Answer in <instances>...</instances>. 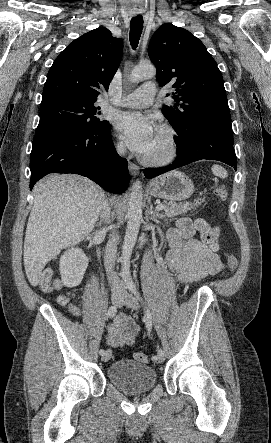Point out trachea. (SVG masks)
Returning <instances> with one entry per match:
<instances>
[{
	"label": "trachea",
	"mask_w": 271,
	"mask_h": 443,
	"mask_svg": "<svg viewBox=\"0 0 271 443\" xmlns=\"http://www.w3.org/2000/svg\"><path fill=\"white\" fill-rule=\"evenodd\" d=\"M143 30V17L142 15H137L133 17L130 22V42L132 47L135 49L138 45L140 36Z\"/></svg>",
	"instance_id": "3493384b"
}]
</instances>
